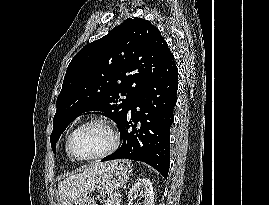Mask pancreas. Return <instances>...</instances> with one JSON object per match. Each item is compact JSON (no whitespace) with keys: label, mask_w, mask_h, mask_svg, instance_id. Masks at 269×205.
I'll list each match as a JSON object with an SVG mask.
<instances>
[{"label":"pancreas","mask_w":269,"mask_h":205,"mask_svg":"<svg viewBox=\"0 0 269 205\" xmlns=\"http://www.w3.org/2000/svg\"><path fill=\"white\" fill-rule=\"evenodd\" d=\"M120 198L116 195L112 196L111 199L105 202L103 205H119Z\"/></svg>","instance_id":"cf45deb5"}]
</instances>
